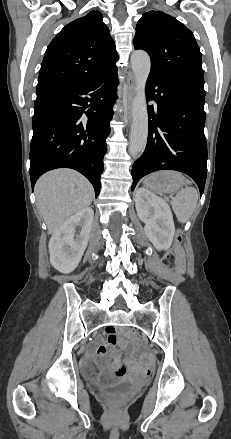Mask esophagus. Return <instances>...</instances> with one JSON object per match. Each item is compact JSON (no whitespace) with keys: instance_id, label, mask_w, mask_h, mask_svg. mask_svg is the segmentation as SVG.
<instances>
[{"instance_id":"34e87169","label":"esophagus","mask_w":231,"mask_h":439,"mask_svg":"<svg viewBox=\"0 0 231 439\" xmlns=\"http://www.w3.org/2000/svg\"><path fill=\"white\" fill-rule=\"evenodd\" d=\"M136 93V82L135 77L132 73L129 74L127 80V89H126V109L130 112L132 101L134 99Z\"/></svg>"}]
</instances>
